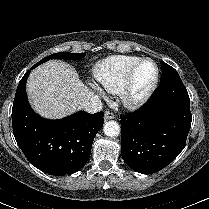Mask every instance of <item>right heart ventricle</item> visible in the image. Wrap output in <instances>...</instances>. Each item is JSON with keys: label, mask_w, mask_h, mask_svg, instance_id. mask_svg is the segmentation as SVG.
I'll list each match as a JSON object with an SVG mask.
<instances>
[{"label": "right heart ventricle", "mask_w": 209, "mask_h": 209, "mask_svg": "<svg viewBox=\"0 0 209 209\" xmlns=\"http://www.w3.org/2000/svg\"><path fill=\"white\" fill-rule=\"evenodd\" d=\"M140 57L118 55L102 61L96 69L95 77L100 86L108 93L120 92L131 66Z\"/></svg>", "instance_id": "obj_1"}]
</instances>
